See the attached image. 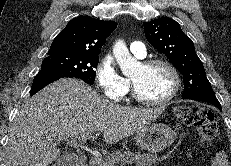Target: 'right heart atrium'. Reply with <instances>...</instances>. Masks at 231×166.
<instances>
[{
  "label": "right heart atrium",
  "instance_id": "right-heart-atrium-1",
  "mask_svg": "<svg viewBox=\"0 0 231 166\" xmlns=\"http://www.w3.org/2000/svg\"><path fill=\"white\" fill-rule=\"evenodd\" d=\"M95 79L102 94L111 101H121L130 91V82L120 74L110 54L100 59Z\"/></svg>",
  "mask_w": 231,
  "mask_h": 166
}]
</instances>
